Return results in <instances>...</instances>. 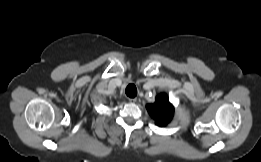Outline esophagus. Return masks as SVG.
Masks as SVG:
<instances>
[{"label":"esophagus","mask_w":261,"mask_h":162,"mask_svg":"<svg viewBox=\"0 0 261 162\" xmlns=\"http://www.w3.org/2000/svg\"><path fill=\"white\" fill-rule=\"evenodd\" d=\"M128 100H129V102H131V103H135V102L137 101L136 98H129Z\"/></svg>","instance_id":"esophagus-1"}]
</instances>
